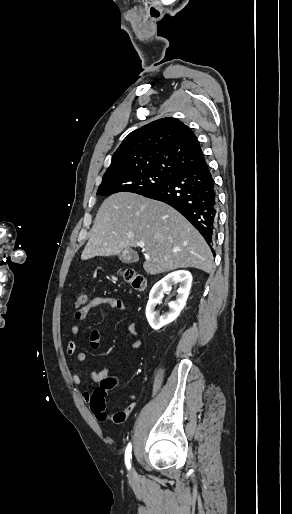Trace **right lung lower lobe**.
<instances>
[{"label":"right lung lower lobe","mask_w":292,"mask_h":514,"mask_svg":"<svg viewBox=\"0 0 292 514\" xmlns=\"http://www.w3.org/2000/svg\"><path fill=\"white\" fill-rule=\"evenodd\" d=\"M143 196L175 208L211 246L217 221V194L206 160L174 173L163 184Z\"/></svg>","instance_id":"right-lung-lower-lobe-1"}]
</instances>
